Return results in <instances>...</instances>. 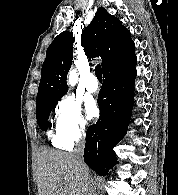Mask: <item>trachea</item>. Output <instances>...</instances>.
<instances>
[{
	"label": "trachea",
	"instance_id": "obj_1",
	"mask_svg": "<svg viewBox=\"0 0 178 195\" xmlns=\"http://www.w3.org/2000/svg\"><path fill=\"white\" fill-rule=\"evenodd\" d=\"M95 75L97 77V79L102 82V69H101V66L100 64H98L96 67H95Z\"/></svg>",
	"mask_w": 178,
	"mask_h": 195
}]
</instances>
